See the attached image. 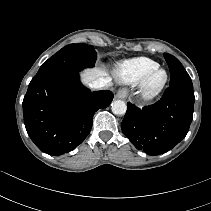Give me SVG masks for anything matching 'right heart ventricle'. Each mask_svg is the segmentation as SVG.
<instances>
[{"label": "right heart ventricle", "mask_w": 211, "mask_h": 211, "mask_svg": "<svg viewBox=\"0 0 211 211\" xmlns=\"http://www.w3.org/2000/svg\"><path fill=\"white\" fill-rule=\"evenodd\" d=\"M158 67V62L147 57H139L121 63L117 68L116 75L121 83L135 86Z\"/></svg>", "instance_id": "1"}]
</instances>
